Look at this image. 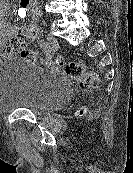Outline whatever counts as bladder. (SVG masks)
<instances>
[{"mask_svg": "<svg viewBox=\"0 0 133 173\" xmlns=\"http://www.w3.org/2000/svg\"><path fill=\"white\" fill-rule=\"evenodd\" d=\"M72 93L69 80L19 58L0 65V111L28 109L35 113L53 110Z\"/></svg>", "mask_w": 133, "mask_h": 173, "instance_id": "obj_1", "label": "bladder"}]
</instances>
